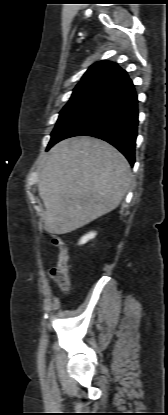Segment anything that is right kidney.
I'll use <instances>...</instances> for the list:
<instances>
[{"label":"right kidney","instance_id":"obj_1","mask_svg":"<svg viewBox=\"0 0 168 415\" xmlns=\"http://www.w3.org/2000/svg\"><path fill=\"white\" fill-rule=\"evenodd\" d=\"M95 236H96V233L95 232H90V233L86 234L85 236H83L80 239L79 244H85L89 240L93 239Z\"/></svg>","mask_w":168,"mask_h":415}]
</instances>
